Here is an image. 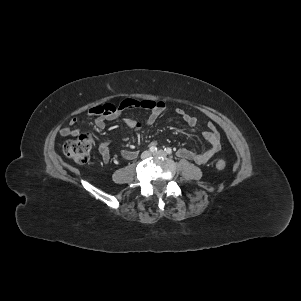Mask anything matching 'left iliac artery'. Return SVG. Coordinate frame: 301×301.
<instances>
[{"label": "left iliac artery", "mask_w": 301, "mask_h": 301, "mask_svg": "<svg viewBox=\"0 0 301 301\" xmlns=\"http://www.w3.org/2000/svg\"><path fill=\"white\" fill-rule=\"evenodd\" d=\"M165 151L167 154H172V149L171 148H165Z\"/></svg>", "instance_id": "obj_1"}]
</instances>
